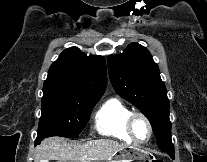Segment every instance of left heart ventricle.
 I'll return each instance as SVG.
<instances>
[{
  "label": "left heart ventricle",
  "mask_w": 207,
  "mask_h": 162,
  "mask_svg": "<svg viewBox=\"0 0 207 162\" xmlns=\"http://www.w3.org/2000/svg\"><path fill=\"white\" fill-rule=\"evenodd\" d=\"M133 131L138 140H145L148 137V127L141 118H137L134 121Z\"/></svg>",
  "instance_id": "left-heart-ventricle-1"
}]
</instances>
